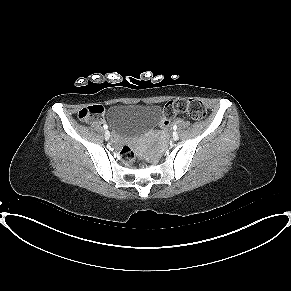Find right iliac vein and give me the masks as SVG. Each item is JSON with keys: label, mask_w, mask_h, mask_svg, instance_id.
Returning a JSON list of instances; mask_svg holds the SVG:
<instances>
[{"label": "right iliac vein", "mask_w": 291, "mask_h": 291, "mask_svg": "<svg viewBox=\"0 0 291 291\" xmlns=\"http://www.w3.org/2000/svg\"><path fill=\"white\" fill-rule=\"evenodd\" d=\"M105 139L108 140L110 138V133L109 131H106L105 132V135H104Z\"/></svg>", "instance_id": "63e3f726"}]
</instances>
